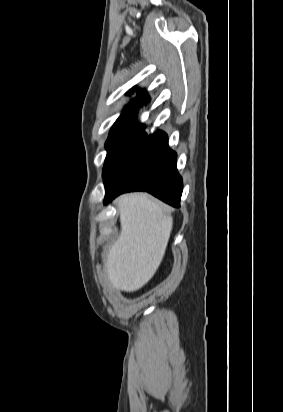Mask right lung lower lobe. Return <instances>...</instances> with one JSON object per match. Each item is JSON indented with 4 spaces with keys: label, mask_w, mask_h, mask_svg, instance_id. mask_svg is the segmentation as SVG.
<instances>
[{
    "label": "right lung lower lobe",
    "mask_w": 283,
    "mask_h": 412,
    "mask_svg": "<svg viewBox=\"0 0 283 412\" xmlns=\"http://www.w3.org/2000/svg\"><path fill=\"white\" fill-rule=\"evenodd\" d=\"M176 161L177 154L169 148L165 132L146 134L141 143L104 178V204L125 192L147 191L179 207L183 184Z\"/></svg>",
    "instance_id": "right-lung-lower-lobe-1"
}]
</instances>
